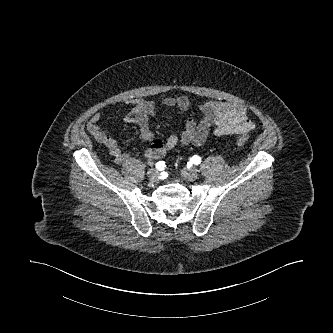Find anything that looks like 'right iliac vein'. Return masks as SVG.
Here are the masks:
<instances>
[{
	"instance_id": "right-iliac-vein-1",
	"label": "right iliac vein",
	"mask_w": 333,
	"mask_h": 333,
	"mask_svg": "<svg viewBox=\"0 0 333 333\" xmlns=\"http://www.w3.org/2000/svg\"><path fill=\"white\" fill-rule=\"evenodd\" d=\"M147 176L150 178L151 181H157L159 177V172L152 168L147 171Z\"/></svg>"
}]
</instances>
